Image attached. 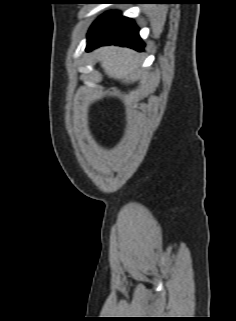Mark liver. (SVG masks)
<instances>
[{
    "label": "liver",
    "mask_w": 236,
    "mask_h": 321,
    "mask_svg": "<svg viewBox=\"0 0 236 321\" xmlns=\"http://www.w3.org/2000/svg\"><path fill=\"white\" fill-rule=\"evenodd\" d=\"M96 53L101 67L109 77L127 84L138 79L140 60L133 50L107 46Z\"/></svg>",
    "instance_id": "obj_1"
}]
</instances>
